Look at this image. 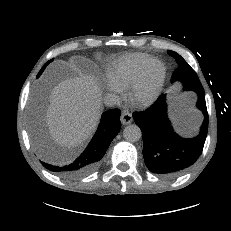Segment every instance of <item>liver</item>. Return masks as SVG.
I'll use <instances>...</instances> for the list:
<instances>
[{"label":"liver","mask_w":231,"mask_h":231,"mask_svg":"<svg viewBox=\"0 0 231 231\" xmlns=\"http://www.w3.org/2000/svg\"><path fill=\"white\" fill-rule=\"evenodd\" d=\"M45 121L55 142L76 147L95 132L102 110L101 89L90 75L67 78L51 90ZM35 149L47 156L38 124L31 121Z\"/></svg>","instance_id":"1"}]
</instances>
